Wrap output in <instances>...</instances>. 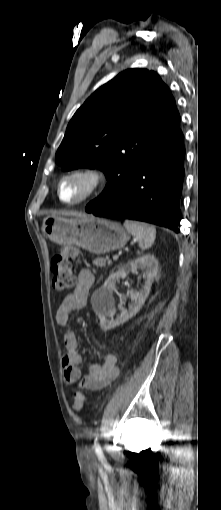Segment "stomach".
I'll list each match as a JSON object with an SVG mask.
<instances>
[{
    "label": "stomach",
    "mask_w": 221,
    "mask_h": 510,
    "mask_svg": "<svg viewBox=\"0 0 221 510\" xmlns=\"http://www.w3.org/2000/svg\"><path fill=\"white\" fill-rule=\"evenodd\" d=\"M42 231L59 245H76L93 254L120 249L129 239L120 223L90 215L78 218L47 216L43 218Z\"/></svg>",
    "instance_id": "obj_1"
}]
</instances>
